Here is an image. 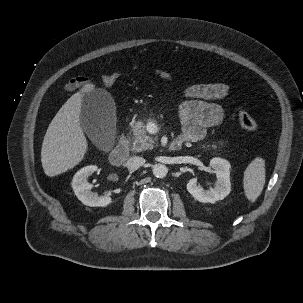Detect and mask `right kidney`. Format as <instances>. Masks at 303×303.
I'll return each mask as SVG.
<instances>
[{"label": "right kidney", "instance_id": "ca27d5eb", "mask_svg": "<svg viewBox=\"0 0 303 303\" xmlns=\"http://www.w3.org/2000/svg\"><path fill=\"white\" fill-rule=\"evenodd\" d=\"M96 170L97 166L95 165L83 167L74 175L71 185L75 195L84 205L105 207L112 202V199L91 192L92 184L87 182V178Z\"/></svg>", "mask_w": 303, "mask_h": 303}]
</instances>
